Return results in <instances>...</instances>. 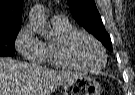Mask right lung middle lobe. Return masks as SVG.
Returning a JSON list of instances; mask_svg holds the SVG:
<instances>
[{
	"label": "right lung middle lobe",
	"mask_w": 135,
	"mask_h": 95,
	"mask_svg": "<svg viewBox=\"0 0 135 95\" xmlns=\"http://www.w3.org/2000/svg\"><path fill=\"white\" fill-rule=\"evenodd\" d=\"M19 31L0 34V56H14V42Z\"/></svg>",
	"instance_id": "obj_1"
}]
</instances>
